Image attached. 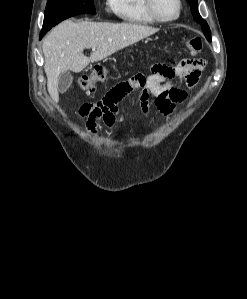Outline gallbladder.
Here are the masks:
<instances>
[{"mask_svg":"<svg viewBox=\"0 0 247 299\" xmlns=\"http://www.w3.org/2000/svg\"><path fill=\"white\" fill-rule=\"evenodd\" d=\"M73 81V76L70 71L62 72L58 78V91L60 93H65L71 86Z\"/></svg>","mask_w":247,"mask_h":299,"instance_id":"bac80fb5","label":"gallbladder"}]
</instances>
